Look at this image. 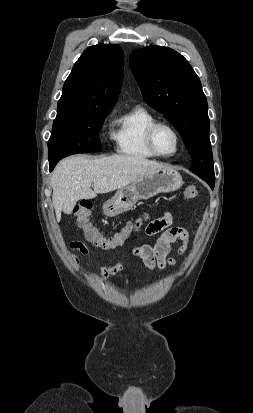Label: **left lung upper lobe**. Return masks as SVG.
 <instances>
[{"mask_svg": "<svg viewBox=\"0 0 253 413\" xmlns=\"http://www.w3.org/2000/svg\"><path fill=\"white\" fill-rule=\"evenodd\" d=\"M130 67L144 99L178 130L191 157L190 171L215 177L207 100L188 61L163 46L134 50Z\"/></svg>", "mask_w": 253, "mask_h": 413, "instance_id": "left-lung-upper-lobe-1", "label": "left lung upper lobe"}]
</instances>
